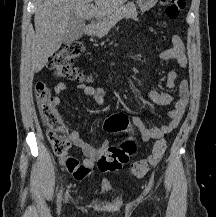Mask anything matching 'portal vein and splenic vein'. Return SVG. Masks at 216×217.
<instances>
[{
    "instance_id": "18ae733b",
    "label": "portal vein and splenic vein",
    "mask_w": 216,
    "mask_h": 217,
    "mask_svg": "<svg viewBox=\"0 0 216 217\" xmlns=\"http://www.w3.org/2000/svg\"><path fill=\"white\" fill-rule=\"evenodd\" d=\"M87 2H88V3H91V2H92V0H87Z\"/></svg>"
}]
</instances>
